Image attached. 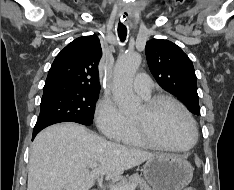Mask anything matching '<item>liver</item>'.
Instances as JSON below:
<instances>
[{
    "instance_id": "6515ba94",
    "label": "liver",
    "mask_w": 234,
    "mask_h": 190,
    "mask_svg": "<svg viewBox=\"0 0 234 190\" xmlns=\"http://www.w3.org/2000/svg\"><path fill=\"white\" fill-rule=\"evenodd\" d=\"M155 156L107 141L79 124H56L33 142L27 190H89L100 176L112 179ZM91 163L99 166L89 172Z\"/></svg>"
}]
</instances>
